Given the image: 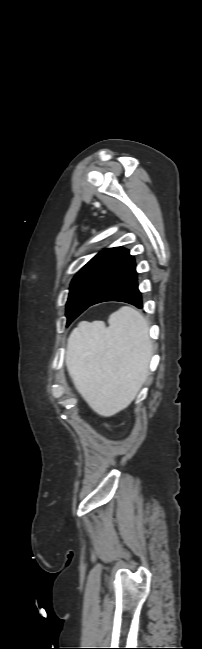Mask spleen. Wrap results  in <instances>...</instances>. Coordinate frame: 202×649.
I'll return each mask as SVG.
<instances>
[{
	"mask_svg": "<svg viewBox=\"0 0 202 649\" xmlns=\"http://www.w3.org/2000/svg\"><path fill=\"white\" fill-rule=\"evenodd\" d=\"M104 323L82 322L68 338L66 366L75 387L98 414L126 408L145 381L152 344L148 323L132 307H121Z\"/></svg>",
	"mask_w": 202,
	"mask_h": 649,
	"instance_id": "obj_1",
	"label": "spleen"
}]
</instances>
